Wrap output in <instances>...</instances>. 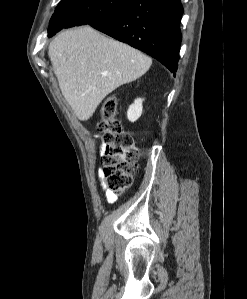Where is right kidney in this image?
<instances>
[{"label":"right kidney","mask_w":247,"mask_h":299,"mask_svg":"<svg viewBox=\"0 0 247 299\" xmlns=\"http://www.w3.org/2000/svg\"><path fill=\"white\" fill-rule=\"evenodd\" d=\"M143 99L137 98L133 104L129 106L127 111V118L130 122H135L141 116L143 111Z\"/></svg>","instance_id":"obj_1"}]
</instances>
